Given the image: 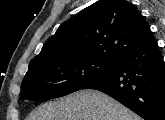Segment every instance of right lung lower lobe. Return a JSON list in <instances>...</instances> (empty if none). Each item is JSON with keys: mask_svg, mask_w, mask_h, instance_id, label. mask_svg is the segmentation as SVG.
<instances>
[{"mask_svg": "<svg viewBox=\"0 0 165 120\" xmlns=\"http://www.w3.org/2000/svg\"><path fill=\"white\" fill-rule=\"evenodd\" d=\"M83 89L102 91L145 120H165V65L155 38L129 50L109 74Z\"/></svg>", "mask_w": 165, "mask_h": 120, "instance_id": "right-lung-lower-lobe-1", "label": "right lung lower lobe"}]
</instances>
